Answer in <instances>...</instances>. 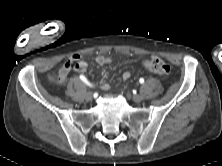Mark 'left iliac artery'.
Wrapping results in <instances>:
<instances>
[{"instance_id":"1","label":"left iliac artery","mask_w":222,"mask_h":166,"mask_svg":"<svg viewBox=\"0 0 222 166\" xmlns=\"http://www.w3.org/2000/svg\"><path fill=\"white\" fill-rule=\"evenodd\" d=\"M139 82H140L141 84H143V83H144V79H143V78H140Z\"/></svg>"}]
</instances>
